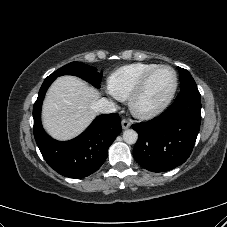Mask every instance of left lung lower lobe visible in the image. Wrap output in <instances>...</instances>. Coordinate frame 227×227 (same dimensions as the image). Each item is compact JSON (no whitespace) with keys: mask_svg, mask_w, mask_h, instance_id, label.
<instances>
[{"mask_svg":"<svg viewBox=\"0 0 227 227\" xmlns=\"http://www.w3.org/2000/svg\"><path fill=\"white\" fill-rule=\"evenodd\" d=\"M201 123V100L196 84L180 88L173 104L158 117L133 124L139 138L135 160L152 172L172 170L190 156Z\"/></svg>","mask_w":227,"mask_h":227,"instance_id":"obj_1","label":"left lung lower lobe"}]
</instances>
